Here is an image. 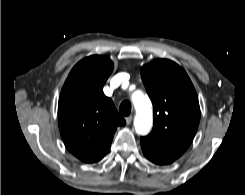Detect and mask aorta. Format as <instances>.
I'll return each mask as SVG.
<instances>
[{
	"instance_id": "1",
	"label": "aorta",
	"mask_w": 245,
	"mask_h": 195,
	"mask_svg": "<svg viewBox=\"0 0 245 195\" xmlns=\"http://www.w3.org/2000/svg\"><path fill=\"white\" fill-rule=\"evenodd\" d=\"M132 101L136 110L134 121L135 130L138 134L146 135L149 133L153 123L151 102L149 98L140 91L133 94Z\"/></svg>"
}]
</instances>
